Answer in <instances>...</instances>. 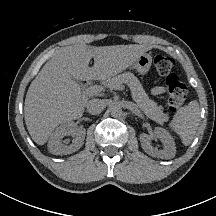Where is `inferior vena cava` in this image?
<instances>
[{
  "mask_svg": "<svg viewBox=\"0 0 216 216\" xmlns=\"http://www.w3.org/2000/svg\"><path fill=\"white\" fill-rule=\"evenodd\" d=\"M104 108V102L100 99H91L86 104L87 112L91 115L100 114Z\"/></svg>",
  "mask_w": 216,
  "mask_h": 216,
  "instance_id": "602c4592",
  "label": "inferior vena cava"
}]
</instances>
